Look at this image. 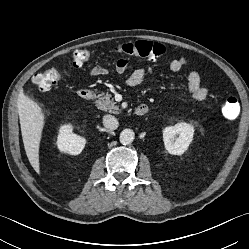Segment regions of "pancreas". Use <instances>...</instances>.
I'll return each mask as SVG.
<instances>
[{
  "mask_svg": "<svg viewBox=\"0 0 249 249\" xmlns=\"http://www.w3.org/2000/svg\"><path fill=\"white\" fill-rule=\"evenodd\" d=\"M97 99L98 100L95 102L97 108L113 114H118L120 112L119 107L116 105L115 101L111 99V95L108 93L98 94Z\"/></svg>",
  "mask_w": 249,
  "mask_h": 249,
  "instance_id": "1",
  "label": "pancreas"
}]
</instances>
